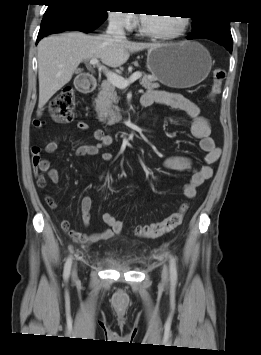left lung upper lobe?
Segmentation results:
<instances>
[{
  "label": "left lung upper lobe",
  "mask_w": 261,
  "mask_h": 355,
  "mask_svg": "<svg viewBox=\"0 0 261 355\" xmlns=\"http://www.w3.org/2000/svg\"><path fill=\"white\" fill-rule=\"evenodd\" d=\"M193 31L191 38H198L206 35H214L220 37H232L230 32V22L219 19H202L192 18Z\"/></svg>",
  "instance_id": "left-lung-upper-lobe-1"
}]
</instances>
